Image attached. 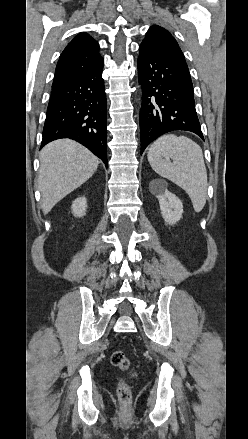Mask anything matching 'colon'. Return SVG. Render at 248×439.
<instances>
[{
  "instance_id": "colon-1",
  "label": "colon",
  "mask_w": 248,
  "mask_h": 439,
  "mask_svg": "<svg viewBox=\"0 0 248 439\" xmlns=\"http://www.w3.org/2000/svg\"><path fill=\"white\" fill-rule=\"evenodd\" d=\"M111 363L113 366L121 369V370H128L130 367V362L127 356L122 351H115L111 355ZM131 377L135 376V372L130 373ZM117 395L119 400L126 404L131 399V389L127 383L126 380H122L117 387Z\"/></svg>"
}]
</instances>
